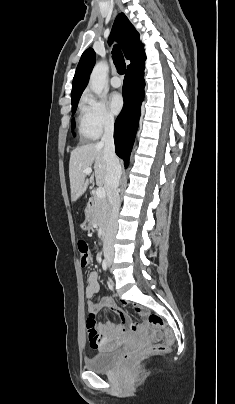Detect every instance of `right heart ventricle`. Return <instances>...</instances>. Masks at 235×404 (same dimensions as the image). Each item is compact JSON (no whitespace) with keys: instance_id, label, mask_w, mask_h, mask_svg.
Listing matches in <instances>:
<instances>
[{"instance_id":"e07e8e85","label":"right heart ventricle","mask_w":235,"mask_h":404,"mask_svg":"<svg viewBox=\"0 0 235 404\" xmlns=\"http://www.w3.org/2000/svg\"><path fill=\"white\" fill-rule=\"evenodd\" d=\"M78 132L80 137L85 141L93 140L98 136L91 128L87 114L82 106L78 116Z\"/></svg>"}]
</instances>
